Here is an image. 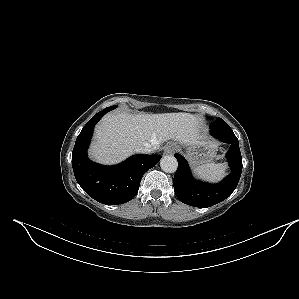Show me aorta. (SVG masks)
<instances>
[{
    "label": "aorta",
    "instance_id": "762f6f07",
    "mask_svg": "<svg viewBox=\"0 0 299 299\" xmlns=\"http://www.w3.org/2000/svg\"><path fill=\"white\" fill-rule=\"evenodd\" d=\"M161 169L166 173H174L177 170V159L172 155L162 157L160 160Z\"/></svg>",
    "mask_w": 299,
    "mask_h": 299
}]
</instances>
